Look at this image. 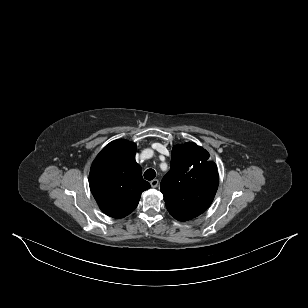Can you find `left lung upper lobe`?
<instances>
[{"instance_id":"1","label":"left lung upper lobe","mask_w":308,"mask_h":308,"mask_svg":"<svg viewBox=\"0 0 308 308\" xmlns=\"http://www.w3.org/2000/svg\"><path fill=\"white\" fill-rule=\"evenodd\" d=\"M170 171L160 191L169 213L179 221L202 214L212 203L218 188V171L209 153L193 142L175 146Z\"/></svg>"}]
</instances>
